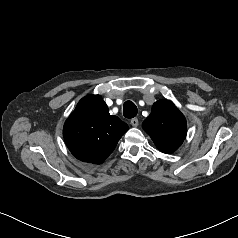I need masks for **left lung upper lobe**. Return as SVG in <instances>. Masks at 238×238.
Wrapping results in <instances>:
<instances>
[{"label":"left lung upper lobe","mask_w":238,"mask_h":238,"mask_svg":"<svg viewBox=\"0 0 238 238\" xmlns=\"http://www.w3.org/2000/svg\"><path fill=\"white\" fill-rule=\"evenodd\" d=\"M142 127L156 147L166 154L176 151L187 133L185 117L169 100L154 103L151 114L145 119Z\"/></svg>","instance_id":"5c2ea615"}]
</instances>
